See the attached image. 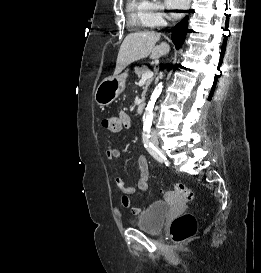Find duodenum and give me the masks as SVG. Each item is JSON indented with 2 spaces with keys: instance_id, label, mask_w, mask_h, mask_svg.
<instances>
[{
  "instance_id": "duodenum-1",
  "label": "duodenum",
  "mask_w": 261,
  "mask_h": 273,
  "mask_svg": "<svg viewBox=\"0 0 261 273\" xmlns=\"http://www.w3.org/2000/svg\"><path fill=\"white\" fill-rule=\"evenodd\" d=\"M146 110V103L144 102H141L139 105H138V108H137V111L139 114H143Z\"/></svg>"
}]
</instances>
